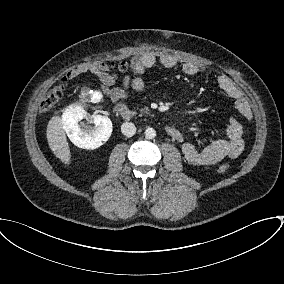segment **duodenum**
<instances>
[{
	"label": "duodenum",
	"mask_w": 284,
	"mask_h": 284,
	"mask_svg": "<svg viewBox=\"0 0 284 284\" xmlns=\"http://www.w3.org/2000/svg\"><path fill=\"white\" fill-rule=\"evenodd\" d=\"M115 111L125 120V121H130L133 119L134 115L132 113V111L127 107V105H125L122 102H118L115 104L114 106ZM166 133L170 136V137H174L178 135V131L175 128L172 127H167L166 129Z\"/></svg>",
	"instance_id": "obj_1"
}]
</instances>
